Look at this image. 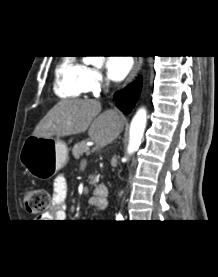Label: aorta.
Here are the masks:
<instances>
[{
  "label": "aorta",
  "instance_id": "aorta-1",
  "mask_svg": "<svg viewBox=\"0 0 218 277\" xmlns=\"http://www.w3.org/2000/svg\"><path fill=\"white\" fill-rule=\"evenodd\" d=\"M102 57L103 56H88L87 60L93 63L95 66H101L103 63ZM146 122L147 112L145 108H140L131 121L129 144L127 148L128 154L134 153L139 148L146 128Z\"/></svg>",
  "mask_w": 218,
  "mask_h": 277
}]
</instances>
